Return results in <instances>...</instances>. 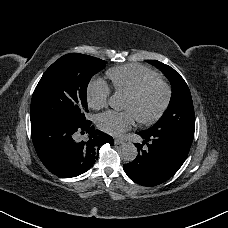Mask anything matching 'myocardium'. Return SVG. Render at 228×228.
Masks as SVG:
<instances>
[{
	"instance_id": "f54148a6",
	"label": "myocardium",
	"mask_w": 228,
	"mask_h": 228,
	"mask_svg": "<svg viewBox=\"0 0 228 228\" xmlns=\"http://www.w3.org/2000/svg\"><path fill=\"white\" fill-rule=\"evenodd\" d=\"M154 85L161 86V88L163 90L162 99H161V102H160L156 112L153 115H151L150 117L145 118V119H140V118L138 119V121L140 123H142V124L154 123L155 121H157L162 116V114L165 111V109H166V107L168 105V102H169V97H170L169 86L164 81L156 79V80H153V81H150V82L144 84L138 90H136L134 93L130 94L129 97H128V98H130L132 100H138V99H140L143 96V94L149 88H151Z\"/></svg>"
}]
</instances>
